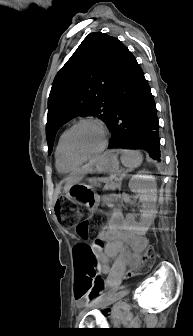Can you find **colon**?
<instances>
[{"mask_svg": "<svg viewBox=\"0 0 193 336\" xmlns=\"http://www.w3.org/2000/svg\"><path fill=\"white\" fill-rule=\"evenodd\" d=\"M56 208L59 212L61 223L67 228H75L77 235L83 239L88 240L94 234L99 219L96 220H80L77 213H73L74 203L71 198H61L56 203ZM97 243L101 246L102 240H97ZM75 265L78 272L81 274V281L77 284V296L79 298H86L87 300L91 296L85 293L84 284L87 281L93 283H101L100 276L96 268V260L90 250V247L85 244H79L74 249ZM155 257V251L152 247H149L140 262L139 270H144L150 266ZM85 276H87L85 278Z\"/></svg>", "mask_w": 193, "mask_h": 336, "instance_id": "5ec220e1", "label": "colon"}]
</instances>
